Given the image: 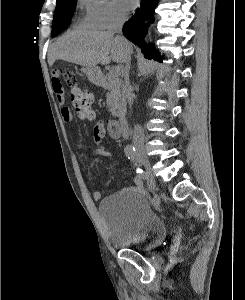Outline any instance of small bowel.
Returning <instances> with one entry per match:
<instances>
[{
  "label": "small bowel",
  "mask_w": 245,
  "mask_h": 300,
  "mask_svg": "<svg viewBox=\"0 0 245 300\" xmlns=\"http://www.w3.org/2000/svg\"><path fill=\"white\" fill-rule=\"evenodd\" d=\"M52 89L55 93L57 103L61 106V116L63 120L67 123L71 122L73 120V115L65 103V94H64V88L61 81V78L54 73L52 77ZM108 134L113 139H119L121 136H123L119 123L115 120H108V121H102L97 119L95 121V128H94V139L96 143L98 144V149L96 151L97 155H101L104 157H112V153L107 150L103 145V140L105 138V135ZM129 190L142 193L144 191L143 182L140 178L135 177L134 178V186L129 188ZM92 198L96 201L100 200L101 193L98 190H95L92 193Z\"/></svg>",
  "instance_id": "obj_1"
}]
</instances>
